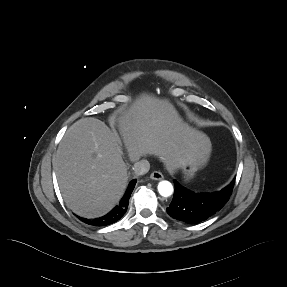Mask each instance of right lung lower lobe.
<instances>
[{
  "mask_svg": "<svg viewBox=\"0 0 287 287\" xmlns=\"http://www.w3.org/2000/svg\"><path fill=\"white\" fill-rule=\"evenodd\" d=\"M135 184H136V179L132 180L129 183L128 188H127L122 200L120 201L119 205L116 206L112 211H110L105 216L95 218L92 220L86 219V218H81V217H79V219L86 224H89L92 226H98V227L107 226V225H110L114 222H117L127 211L129 199H130L131 193L135 187Z\"/></svg>",
  "mask_w": 287,
  "mask_h": 287,
  "instance_id": "98d812e1",
  "label": "right lung lower lobe"
}]
</instances>
